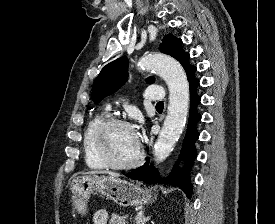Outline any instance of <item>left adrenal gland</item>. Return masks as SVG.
Wrapping results in <instances>:
<instances>
[{"label":"left adrenal gland","instance_id":"left-adrenal-gland-1","mask_svg":"<svg viewBox=\"0 0 275 224\" xmlns=\"http://www.w3.org/2000/svg\"><path fill=\"white\" fill-rule=\"evenodd\" d=\"M149 219L150 217L144 216V211H140L136 217V224H145Z\"/></svg>","mask_w":275,"mask_h":224}]
</instances>
